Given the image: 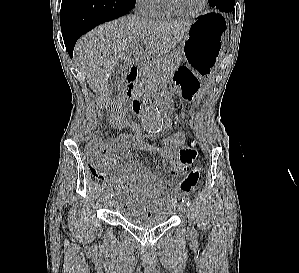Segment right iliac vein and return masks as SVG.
<instances>
[{
    "label": "right iliac vein",
    "instance_id": "63e3f726",
    "mask_svg": "<svg viewBox=\"0 0 299 273\" xmlns=\"http://www.w3.org/2000/svg\"><path fill=\"white\" fill-rule=\"evenodd\" d=\"M116 202H115V199H113V204H115Z\"/></svg>",
    "mask_w": 299,
    "mask_h": 273
}]
</instances>
